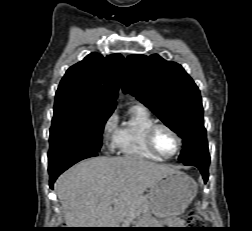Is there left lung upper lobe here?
<instances>
[{
    "instance_id": "left-lung-upper-lobe-1",
    "label": "left lung upper lobe",
    "mask_w": 252,
    "mask_h": 231,
    "mask_svg": "<svg viewBox=\"0 0 252 231\" xmlns=\"http://www.w3.org/2000/svg\"><path fill=\"white\" fill-rule=\"evenodd\" d=\"M122 87L182 137L180 162L210 157L200 91L181 65L157 54L130 55L124 65Z\"/></svg>"
}]
</instances>
